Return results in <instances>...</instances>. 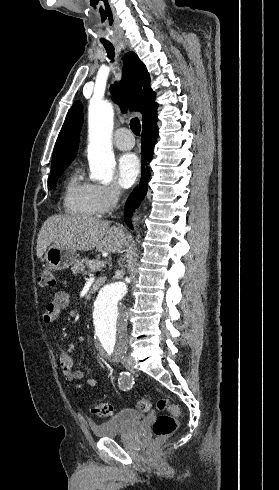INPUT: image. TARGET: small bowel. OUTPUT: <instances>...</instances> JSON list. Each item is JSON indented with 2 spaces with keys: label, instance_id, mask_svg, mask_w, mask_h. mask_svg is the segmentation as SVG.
<instances>
[{
  "label": "small bowel",
  "instance_id": "obj_1",
  "mask_svg": "<svg viewBox=\"0 0 279 490\" xmlns=\"http://www.w3.org/2000/svg\"><path fill=\"white\" fill-rule=\"evenodd\" d=\"M70 305V296L67 292L59 291L55 293L52 301L46 306L43 313V320L50 322L58 315L62 310H65ZM84 342L83 336L76 337L69 343L67 348L60 353L59 364L63 372V376L67 381H76L84 379L85 375L82 370H73L72 352L73 350ZM86 383L92 387L97 385L95 379H86Z\"/></svg>",
  "mask_w": 279,
  "mask_h": 490
}]
</instances>
